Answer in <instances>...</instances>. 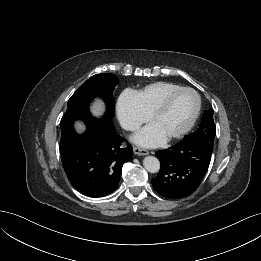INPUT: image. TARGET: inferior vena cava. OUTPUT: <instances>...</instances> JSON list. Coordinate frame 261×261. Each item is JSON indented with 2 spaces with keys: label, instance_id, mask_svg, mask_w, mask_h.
Returning <instances> with one entry per match:
<instances>
[{
  "label": "inferior vena cava",
  "instance_id": "obj_1",
  "mask_svg": "<svg viewBox=\"0 0 261 261\" xmlns=\"http://www.w3.org/2000/svg\"><path fill=\"white\" fill-rule=\"evenodd\" d=\"M124 128H125L126 130L136 131V130L139 129V126H138V125H135V124H127Z\"/></svg>",
  "mask_w": 261,
  "mask_h": 261
}]
</instances>
